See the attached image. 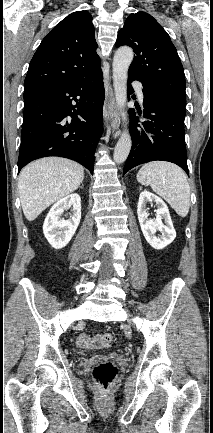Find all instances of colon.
Segmentation results:
<instances>
[{"label": "colon", "mask_w": 213, "mask_h": 433, "mask_svg": "<svg viewBox=\"0 0 213 433\" xmlns=\"http://www.w3.org/2000/svg\"><path fill=\"white\" fill-rule=\"evenodd\" d=\"M102 340L105 345H111L114 337L110 333L102 335ZM117 375V367L112 362H102L96 365L92 370V377L96 384L103 390H106L113 382Z\"/></svg>", "instance_id": "colon-1"}]
</instances>
